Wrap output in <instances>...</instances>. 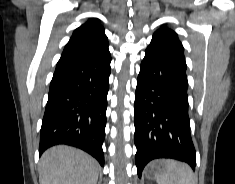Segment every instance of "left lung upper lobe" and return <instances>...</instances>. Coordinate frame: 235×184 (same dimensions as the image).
Segmentation results:
<instances>
[{
	"mask_svg": "<svg viewBox=\"0 0 235 184\" xmlns=\"http://www.w3.org/2000/svg\"><path fill=\"white\" fill-rule=\"evenodd\" d=\"M159 37H167L168 39H170L172 41L178 42L182 46L181 42L178 39L177 34L174 31H172L171 29H168V28H166L164 26H162L160 29H158L153 34V38L152 39L159 38Z\"/></svg>",
	"mask_w": 235,
	"mask_h": 184,
	"instance_id": "obj_1",
	"label": "left lung upper lobe"
}]
</instances>
